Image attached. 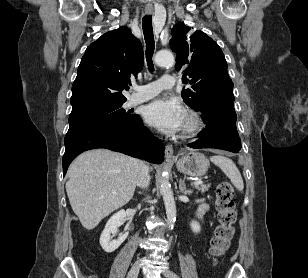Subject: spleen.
Here are the masks:
<instances>
[{"label":"spleen","instance_id":"1","mask_svg":"<svg viewBox=\"0 0 308 278\" xmlns=\"http://www.w3.org/2000/svg\"><path fill=\"white\" fill-rule=\"evenodd\" d=\"M210 160L224 172L237 190L242 191L244 189L241 174L230 158L222 155H215L212 156Z\"/></svg>","mask_w":308,"mask_h":278}]
</instances>
